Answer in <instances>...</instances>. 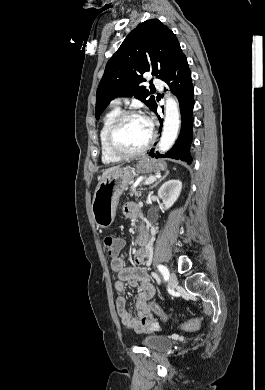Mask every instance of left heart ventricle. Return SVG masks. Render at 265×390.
<instances>
[{
    "label": "left heart ventricle",
    "mask_w": 265,
    "mask_h": 390,
    "mask_svg": "<svg viewBox=\"0 0 265 390\" xmlns=\"http://www.w3.org/2000/svg\"><path fill=\"white\" fill-rule=\"evenodd\" d=\"M150 129L143 118H127L119 127L116 134L118 146L125 151H136L148 141Z\"/></svg>",
    "instance_id": "1"
}]
</instances>
